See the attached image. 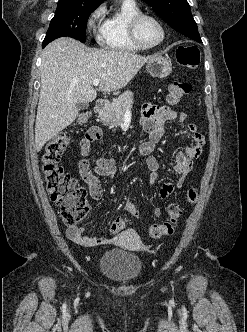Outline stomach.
I'll list each match as a JSON object with an SVG mask.
<instances>
[{
    "label": "stomach",
    "instance_id": "1",
    "mask_svg": "<svg viewBox=\"0 0 247 332\" xmlns=\"http://www.w3.org/2000/svg\"><path fill=\"white\" fill-rule=\"evenodd\" d=\"M146 70L153 77L164 78L171 73L172 62L168 58L154 56L150 61H148Z\"/></svg>",
    "mask_w": 247,
    "mask_h": 332
}]
</instances>
